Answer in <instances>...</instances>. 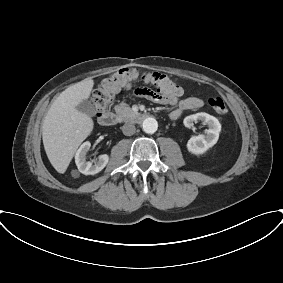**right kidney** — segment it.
Wrapping results in <instances>:
<instances>
[{
	"label": "right kidney",
	"mask_w": 283,
	"mask_h": 283,
	"mask_svg": "<svg viewBox=\"0 0 283 283\" xmlns=\"http://www.w3.org/2000/svg\"><path fill=\"white\" fill-rule=\"evenodd\" d=\"M91 147L89 141L84 142L75 154V163L78 167L79 172L85 175H94L99 173L105 168L109 161V156L107 154L100 155L98 160L92 162L86 161V154Z\"/></svg>",
	"instance_id": "obj_1"
}]
</instances>
